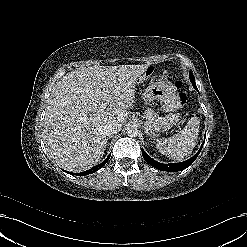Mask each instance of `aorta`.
<instances>
[{"label": "aorta", "mask_w": 247, "mask_h": 247, "mask_svg": "<svg viewBox=\"0 0 247 247\" xmlns=\"http://www.w3.org/2000/svg\"><path fill=\"white\" fill-rule=\"evenodd\" d=\"M138 128L136 125L134 124H131V125H128L126 127V134L129 136V137H136L138 135Z\"/></svg>", "instance_id": "obj_1"}]
</instances>
